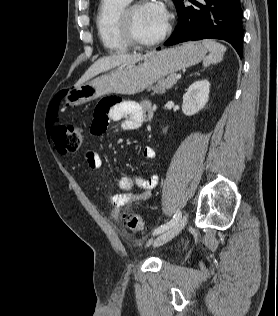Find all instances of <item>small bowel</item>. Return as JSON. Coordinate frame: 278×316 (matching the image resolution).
Returning a JSON list of instances; mask_svg holds the SVG:
<instances>
[{"instance_id":"c3829d8e","label":"small bowel","mask_w":278,"mask_h":316,"mask_svg":"<svg viewBox=\"0 0 278 316\" xmlns=\"http://www.w3.org/2000/svg\"><path fill=\"white\" fill-rule=\"evenodd\" d=\"M150 110L151 105L149 102H137L114 97L104 98L95 109L91 133L93 135L101 134L108 119L119 122L122 130H136L143 124ZM142 156L146 160H153L156 153L152 147L146 146L142 151ZM84 158L89 168L95 171L101 170L102 160L97 150H87ZM157 183L158 176L155 174L148 179L138 176L120 179L119 187L122 192L109 196V201L113 207L111 213L112 221L118 220L120 211L124 206L135 201L147 200ZM134 184L140 187V193L136 194L132 191Z\"/></svg>"}]
</instances>
